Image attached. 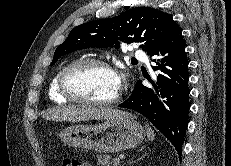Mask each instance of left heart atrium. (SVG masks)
I'll use <instances>...</instances> for the list:
<instances>
[{"mask_svg":"<svg viewBox=\"0 0 231 166\" xmlns=\"http://www.w3.org/2000/svg\"><path fill=\"white\" fill-rule=\"evenodd\" d=\"M116 77H117L118 84L120 85L121 84V78L118 75H116Z\"/></svg>","mask_w":231,"mask_h":166,"instance_id":"obj_1","label":"left heart atrium"}]
</instances>
